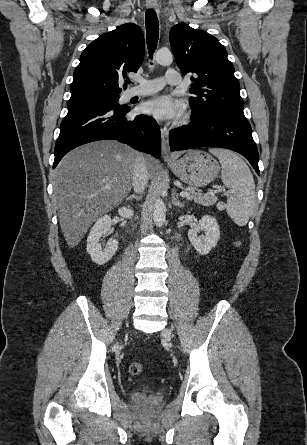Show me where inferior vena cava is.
<instances>
[{
  "mask_svg": "<svg viewBox=\"0 0 307 445\" xmlns=\"http://www.w3.org/2000/svg\"><path fill=\"white\" fill-rule=\"evenodd\" d=\"M148 170L145 162V158L141 152H138L133 168V180L132 184L134 186L135 192L142 194L148 180Z\"/></svg>",
  "mask_w": 307,
  "mask_h": 445,
  "instance_id": "obj_1",
  "label": "inferior vena cava"
}]
</instances>
